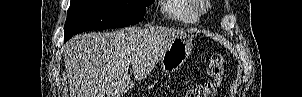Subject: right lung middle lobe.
<instances>
[{
    "label": "right lung middle lobe",
    "instance_id": "dd1d6c3e",
    "mask_svg": "<svg viewBox=\"0 0 302 97\" xmlns=\"http://www.w3.org/2000/svg\"><path fill=\"white\" fill-rule=\"evenodd\" d=\"M153 0H71L64 40L87 30L127 27L138 24Z\"/></svg>",
    "mask_w": 302,
    "mask_h": 97
}]
</instances>
